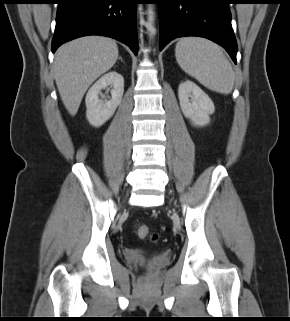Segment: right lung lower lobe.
Returning <instances> with one entry per match:
<instances>
[{
    "label": "right lung lower lobe",
    "instance_id": "right-lung-lower-lobe-1",
    "mask_svg": "<svg viewBox=\"0 0 290 321\" xmlns=\"http://www.w3.org/2000/svg\"><path fill=\"white\" fill-rule=\"evenodd\" d=\"M138 0H59L52 52L87 35H103L128 45L137 55Z\"/></svg>",
    "mask_w": 290,
    "mask_h": 321
}]
</instances>
